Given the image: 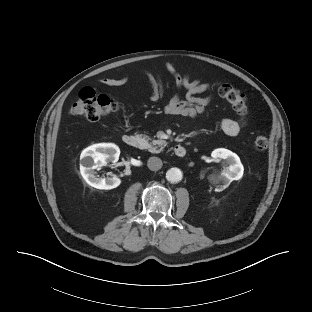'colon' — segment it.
I'll return each mask as SVG.
<instances>
[{
	"mask_svg": "<svg viewBox=\"0 0 312 312\" xmlns=\"http://www.w3.org/2000/svg\"><path fill=\"white\" fill-rule=\"evenodd\" d=\"M219 94L230 103L236 114L244 116L248 113V101L236 86L229 83L221 84ZM118 108L119 104L116 100L106 95H98L92 88L85 87L80 91L79 99L73 105L71 113L90 121H98L117 111ZM253 146L256 151L266 150L268 147L267 137H256Z\"/></svg>",
	"mask_w": 312,
	"mask_h": 312,
	"instance_id": "obj_1",
	"label": "colon"
}]
</instances>
